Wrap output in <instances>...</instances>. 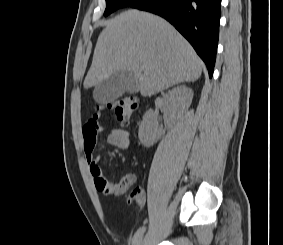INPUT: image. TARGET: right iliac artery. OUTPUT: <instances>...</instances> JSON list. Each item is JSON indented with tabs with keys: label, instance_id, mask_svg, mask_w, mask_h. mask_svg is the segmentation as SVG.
I'll return each mask as SVG.
<instances>
[{
	"label": "right iliac artery",
	"instance_id": "82829eb1",
	"mask_svg": "<svg viewBox=\"0 0 283 245\" xmlns=\"http://www.w3.org/2000/svg\"><path fill=\"white\" fill-rule=\"evenodd\" d=\"M146 228L140 227L136 233L134 234L133 238H132V245H136V243L139 241V239L141 238V236L143 235V233L145 232Z\"/></svg>",
	"mask_w": 283,
	"mask_h": 245
}]
</instances>
